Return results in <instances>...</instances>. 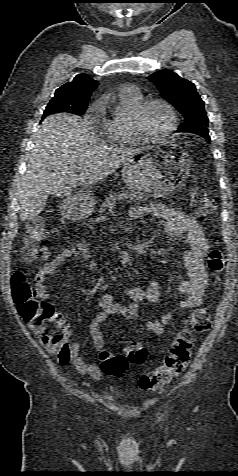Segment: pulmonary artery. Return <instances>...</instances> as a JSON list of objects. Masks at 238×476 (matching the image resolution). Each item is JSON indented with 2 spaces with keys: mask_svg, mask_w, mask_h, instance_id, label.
<instances>
[{
  "mask_svg": "<svg viewBox=\"0 0 238 476\" xmlns=\"http://www.w3.org/2000/svg\"><path fill=\"white\" fill-rule=\"evenodd\" d=\"M124 90L128 91V92H138L137 88L132 86V85H129V86H126L124 88Z\"/></svg>",
  "mask_w": 238,
  "mask_h": 476,
  "instance_id": "e3ab8cb5",
  "label": "pulmonary artery"
}]
</instances>
